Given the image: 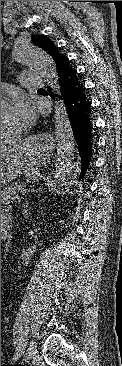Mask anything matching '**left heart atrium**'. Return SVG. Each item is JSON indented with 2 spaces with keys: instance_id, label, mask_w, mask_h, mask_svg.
<instances>
[{
  "instance_id": "1",
  "label": "left heart atrium",
  "mask_w": 122,
  "mask_h": 366,
  "mask_svg": "<svg viewBox=\"0 0 122 366\" xmlns=\"http://www.w3.org/2000/svg\"><path fill=\"white\" fill-rule=\"evenodd\" d=\"M13 103L19 120V129L29 126L34 119L32 103L22 95H17Z\"/></svg>"
}]
</instances>
